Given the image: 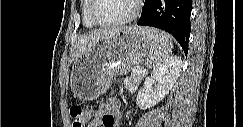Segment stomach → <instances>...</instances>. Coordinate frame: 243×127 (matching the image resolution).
<instances>
[{
	"instance_id": "1",
	"label": "stomach",
	"mask_w": 243,
	"mask_h": 127,
	"mask_svg": "<svg viewBox=\"0 0 243 127\" xmlns=\"http://www.w3.org/2000/svg\"><path fill=\"white\" fill-rule=\"evenodd\" d=\"M149 28L129 27L99 40L72 65L70 87L75 96L94 100L111 85L114 75L140 66L152 51Z\"/></svg>"
}]
</instances>
